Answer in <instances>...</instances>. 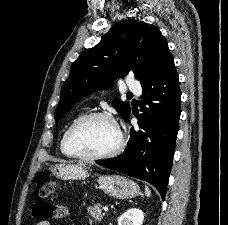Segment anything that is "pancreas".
I'll return each mask as SVG.
<instances>
[{"mask_svg": "<svg viewBox=\"0 0 228 225\" xmlns=\"http://www.w3.org/2000/svg\"><path fill=\"white\" fill-rule=\"evenodd\" d=\"M88 213H90L91 217L95 219V221H102V217H104L105 213H101V205H93V207H87Z\"/></svg>", "mask_w": 228, "mask_h": 225, "instance_id": "cf45deb5", "label": "pancreas"}]
</instances>
